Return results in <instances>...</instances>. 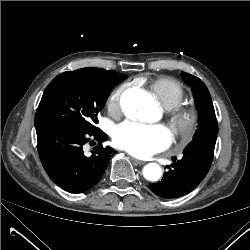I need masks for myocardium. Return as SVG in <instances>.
Here are the masks:
<instances>
[{
  "mask_svg": "<svg viewBox=\"0 0 250 250\" xmlns=\"http://www.w3.org/2000/svg\"><path fill=\"white\" fill-rule=\"evenodd\" d=\"M198 112L183 103L167 110V123L174 135L185 146L193 137L198 125Z\"/></svg>",
  "mask_w": 250,
  "mask_h": 250,
  "instance_id": "f54148a6",
  "label": "myocardium"
}]
</instances>
